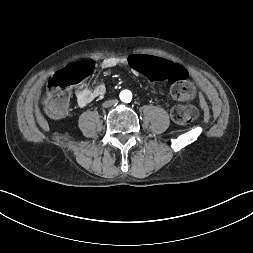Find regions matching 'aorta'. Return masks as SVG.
I'll return each mask as SVG.
<instances>
[{"label": "aorta", "instance_id": "aorta-1", "mask_svg": "<svg viewBox=\"0 0 253 253\" xmlns=\"http://www.w3.org/2000/svg\"><path fill=\"white\" fill-rule=\"evenodd\" d=\"M132 98L131 92L128 90H124L120 93V99L123 102H129Z\"/></svg>", "mask_w": 253, "mask_h": 253}]
</instances>
